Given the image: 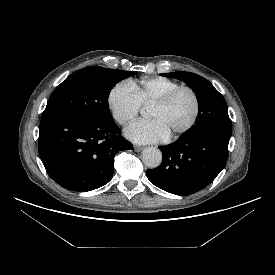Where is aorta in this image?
Returning a JSON list of instances; mask_svg holds the SVG:
<instances>
[{
  "mask_svg": "<svg viewBox=\"0 0 275 275\" xmlns=\"http://www.w3.org/2000/svg\"><path fill=\"white\" fill-rule=\"evenodd\" d=\"M141 112L145 115L146 108H143ZM142 160L147 167L151 169L157 168L162 162V153L155 147L145 148L142 152Z\"/></svg>",
  "mask_w": 275,
  "mask_h": 275,
  "instance_id": "obj_1",
  "label": "aorta"
}]
</instances>
